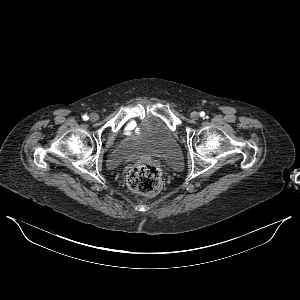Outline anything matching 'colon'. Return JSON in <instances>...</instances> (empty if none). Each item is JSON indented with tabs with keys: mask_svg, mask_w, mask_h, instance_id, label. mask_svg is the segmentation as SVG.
Returning a JSON list of instances; mask_svg holds the SVG:
<instances>
[{
	"mask_svg": "<svg viewBox=\"0 0 300 300\" xmlns=\"http://www.w3.org/2000/svg\"><path fill=\"white\" fill-rule=\"evenodd\" d=\"M126 178L131 190L144 195H156L162 188L161 170L150 161L134 164L128 170Z\"/></svg>",
	"mask_w": 300,
	"mask_h": 300,
	"instance_id": "5ec220e1",
	"label": "colon"
}]
</instances>
